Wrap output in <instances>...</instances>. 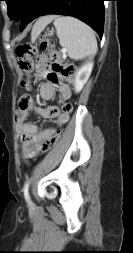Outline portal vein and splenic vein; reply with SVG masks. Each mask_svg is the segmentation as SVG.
Returning a JSON list of instances; mask_svg holds the SVG:
<instances>
[{"label": "portal vein and splenic vein", "mask_w": 133, "mask_h": 253, "mask_svg": "<svg viewBox=\"0 0 133 253\" xmlns=\"http://www.w3.org/2000/svg\"><path fill=\"white\" fill-rule=\"evenodd\" d=\"M62 53L65 55L66 54V49H62Z\"/></svg>", "instance_id": "1"}]
</instances>
